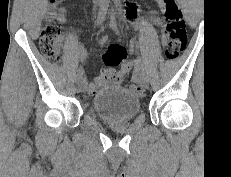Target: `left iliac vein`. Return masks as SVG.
I'll return each instance as SVG.
<instances>
[{"mask_svg":"<svg viewBox=\"0 0 231 177\" xmlns=\"http://www.w3.org/2000/svg\"><path fill=\"white\" fill-rule=\"evenodd\" d=\"M140 83L144 88H148L149 86V79L144 73L141 74Z\"/></svg>","mask_w":231,"mask_h":177,"instance_id":"1","label":"left iliac vein"}]
</instances>
